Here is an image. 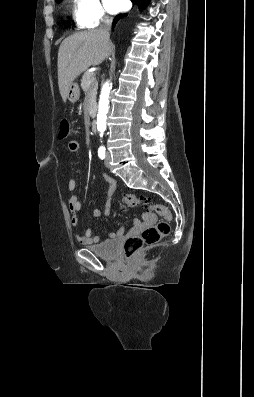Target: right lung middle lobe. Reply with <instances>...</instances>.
<instances>
[{"label": "right lung middle lobe", "mask_w": 254, "mask_h": 397, "mask_svg": "<svg viewBox=\"0 0 254 397\" xmlns=\"http://www.w3.org/2000/svg\"><path fill=\"white\" fill-rule=\"evenodd\" d=\"M62 0H56L57 3H60Z\"/></svg>", "instance_id": "1"}]
</instances>
